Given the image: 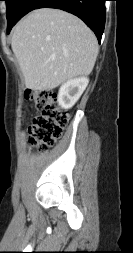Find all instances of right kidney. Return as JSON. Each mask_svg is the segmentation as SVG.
Wrapping results in <instances>:
<instances>
[{"label":"right kidney","mask_w":133,"mask_h":253,"mask_svg":"<svg viewBox=\"0 0 133 253\" xmlns=\"http://www.w3.org/2000/svg\"><path fill=\"white\" fill-rule=\"evenodd\" d=\"M89 83L87 77L70 80L64 83L58 94V103L63 109H70L78 101Z\"/></svg>","instance_id":"ca27d5eb"}]
</instances>
